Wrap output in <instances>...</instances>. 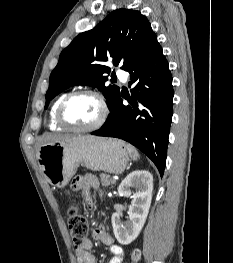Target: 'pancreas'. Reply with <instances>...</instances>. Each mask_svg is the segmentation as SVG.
<instances>
[{"mask_svg": "<svg viewBox=\"0 0 233 263\" xmlns=\"http://www.w3.org/2000/svg\"><path fill=\"white\" fill-rule=\"evenodd\" d=\"M99 177L103 187H107L111 184H115V180L111 179L110 176L107 174L101 173Z\"/></svg>", "mask_w": 233, "mask_h": 263, "instance_id": "cf45deb5", "label": "pancreas"}]
</instances>
